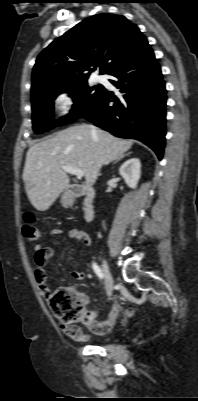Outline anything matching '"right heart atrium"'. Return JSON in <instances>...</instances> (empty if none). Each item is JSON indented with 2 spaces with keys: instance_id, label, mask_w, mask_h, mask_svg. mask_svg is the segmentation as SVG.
<instances>
[{
  "instance_id": "obj_1",
  "label": "right heart atrium",
  "mask_w": 198,
  "mask_h": 401,
  "mask_svg": "<svg viewBox=\"0 0 198 401\" xmlns=\"http://www.w3.org/2000/svg\"><path fill=\"white\" fill-rule=\"evenodd\" d=\"M53 105L59 118H67L74 112L77 98L74 93L64 91L55 96Z\"/></svg>"
}]
</instances>
